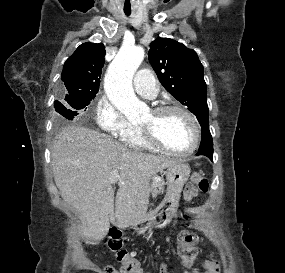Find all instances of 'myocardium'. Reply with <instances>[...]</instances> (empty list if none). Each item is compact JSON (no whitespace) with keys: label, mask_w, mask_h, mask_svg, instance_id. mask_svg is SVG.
Here are the masks:
<instances>
[{"label":"myocardium","mask_w":285,"mask_h":273,"mask_svg":"<svg viewBox=\"0 0 285 273\" xmlns=\"http://www.w3.org/2000/svg\"><path fill=\"white\" fill-rule=\"evenodd\" d=\"M170 111H176V112L182 113L184 116H186L189 119V121L192 124L193 131H194V138H193L192 145L187 150L177 151V150H174V149H171V148L165 146L158 139V137L156 136V134L154 133V131L150 127H145V126L139 125L141 135H142L143 139L149 145H151L153 148H155L157 150H160V151H163L167 154H170L173 156H178V157L190 156L193 153H195V151L200 146V142H201V126H200V123H199L198 119L196 118V116L190 110H188L187 108H185L182 105L163 104V105H158L152 109V112L155 114H163V113L170 112Z\"/></svg>","instance_id":"obj_1"}]
</instances>
